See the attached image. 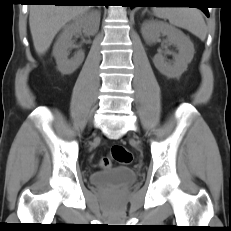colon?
<instances>
[{"label":"colon","mask_w":231,"mask_h":231,"mask_svg":"<svg viewBox=\"0 0 231 231\" xmlns=\"http://www.w3.org/2000/svg\"><path fill=\"white\" fill-rule=\"evenodd\" d=\"M113 161L123 165H128L132 163L133 155L126 147L122 145H114L110 150L109 156L101 159L100 165L107 169L111 167Z\"/></svg>","instance_id":"colon-1"}]
</instances>
